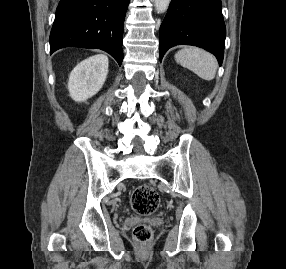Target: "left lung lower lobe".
<instances>
[{
  "mask_svg": "<svg viewBox=\"0 0 286 269\" xmlns=\"http://www.w3.org/2000/svg\"><path fill=\"white\" fill-rule=\"evenodd\" d=\"M226 27L221 0H171L160 27V61L175 45L206 49L222 64Z\"/></svg>",
  "mask_w": 286,
  "mask_h": 269,
  "instance_id": "obj_1",
  "label": "left lung lower lobe"
}]
</instances>
